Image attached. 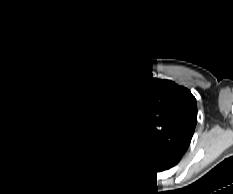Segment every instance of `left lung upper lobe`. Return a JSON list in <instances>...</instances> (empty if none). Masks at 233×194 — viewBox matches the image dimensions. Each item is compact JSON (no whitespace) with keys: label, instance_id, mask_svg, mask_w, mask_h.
Listing matches in <instances>:
<instances>
[{"label":"left lung upper lobe","instance_id":"5c2ea615","mask_svg":"<svg viewBox=\"0 0 233 194\" xmlns=\"http://www.w3.org/2000/svg\"><path fill=\"white\" fill-rule=\"evenodd\" d=\"M150 135L145 152L181 158L197 122V103L191 92L172 81L148 78L131 88Z\"/></svg>","mask_w":233,"mask_h":194}]
</instances>
